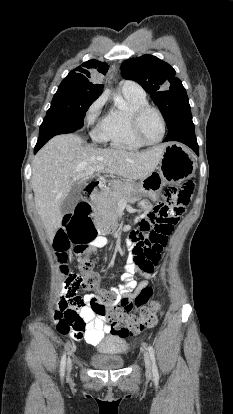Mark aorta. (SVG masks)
Listing matches in <instances>:
<instances>
[{
  "label": "aorta",
  "instance_id": "obj_1",
  "mask_svg": "<svg viewBox=\"0 0 233 414\" xmlns=\"http://www.w3.org/2000/svg\"><path fill=\"white\" fill-rule=\"evenodd\" d=\"M113 100L117 106H122L124 104V99L121 95L113 94Z\"/></svg>",
  "mask_w": 233,
  "mask_h": 414
}]
</instances>
